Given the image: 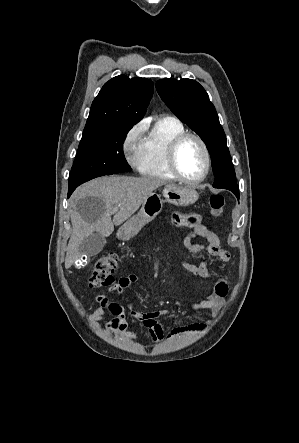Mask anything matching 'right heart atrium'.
<instances>
[{
	"label": "right heart atrium",
	"instance_id": "1",
	"mask_svg": "<svg viewBox=\"0 0 299 443\" xmlns=\"http://www.w3.org/2000/svg\"><path fill=\"white\" fill-rule=\"evenodd\" d=\"M145 130V123L139 122L133 125L126 132L122 141L123 153L129 164L134 168H139L142 154V141Z\"/></svg>",
	"mask_w": 299,
	"mask_h": 443
}]
</instances>
